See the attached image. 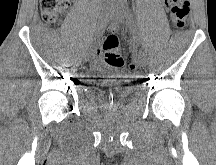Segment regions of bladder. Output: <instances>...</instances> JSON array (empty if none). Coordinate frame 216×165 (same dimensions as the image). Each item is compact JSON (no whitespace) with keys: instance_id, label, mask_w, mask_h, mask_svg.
<instances>
[{"instance_id":"31cf9c89","label":"bladder","mask_w":216,"mask_h":165,"mask_svg":"<svg viewBox=\"0 0 216 165\" xmlns=\"http://www.w3.org/2000/svg\"><path fill=\"white\" fill-rule=\"evenodd\" d=\"M89 86L92 89H84V94H97L96 103H118L129 100L135 89L127 88L133 86L132 76H91Z\"/></svg>"}]
</instances>
